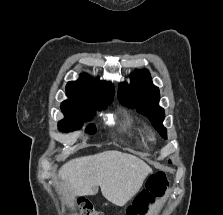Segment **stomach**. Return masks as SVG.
<instances>
[{
  "label": "stomach",
  "instance_id": "stomach-1",
  "mask_svg": "<svg viewBox=\"0 0 223 215\" xmlns=\"http://www.w3.org/2000/svg\"><path fill=\"white\" fill-rule=\"evenodd\" d=\"M152 175H149V177H147V179H151ZM141 190H150L148 189V187H144V189H141Z\"/></svg>",
  "mask_w": 223,
  "mask_h": 215
}]
</instances>
